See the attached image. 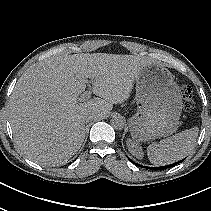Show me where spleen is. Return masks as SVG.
<instances>
[{"mask_svg": "<svg viewBox=\"0 0 211 211\" xmlns=\"http://www.w3.org/2000/svg\"><path fill=\"white\" fill-rule=\"evenodd\" d=\"M198 127L184 130L147 147V155L154 165H168L186 157L194 148Z\"/></svg>", "mask_w": 211, "mask_h": 211, "instance_id": "3e777b00", "label": "spleen"}]
</instances>
